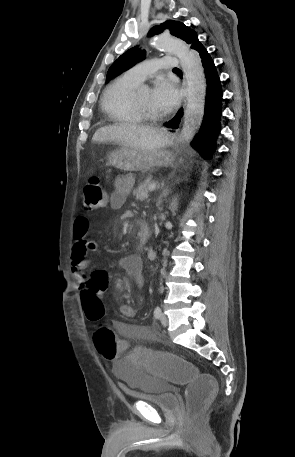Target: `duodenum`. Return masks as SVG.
<instances>
[{
	"instance_id": "duodenum-1",
	"label": "duodenum",
	"mask_w": 295,
	"mask_h": 457,
	"mask_svg": "<svg viewBox=\"0 0 295 457\" xmlns=\"http://www.w3.org/2000/svg\"><path fill=\"white\" fill-rule=\"evenodd\" d=\"M138 229H139L140 244L144 245L150 236L149 226L144 221L140 220L138 222Z\"/></svg>"
}]
</instances>
